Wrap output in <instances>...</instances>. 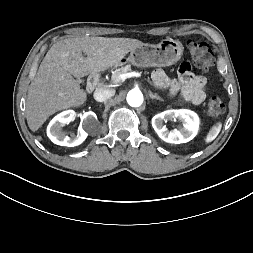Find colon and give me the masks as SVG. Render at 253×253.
Returning <instances> with one entry per match:
<instances>
[{
    "mask_svg": "<svg viewBox=\"0 0 253 253\" xmlns=\"http://www.w3.org/2000/svg\"><path fill=\"white\" fill-rule=\"evenodd\" d=\"M187 50L195 65L202 70H209L215 65V58L207 43L190 40L187 42ZM225 106L218 97H212L208 101L207 111L211 116H219L224 112Z\"/></svg>",
    "mask_w": 253,
    "mask_h": 253,
    "instance_id": "obj_1",
    "label": "colon"
}]
</instances>
